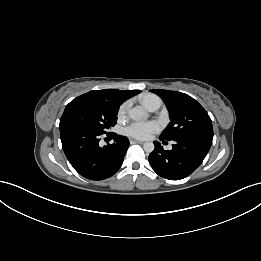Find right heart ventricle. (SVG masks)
I'll use <instances>...</instances> for the list:
<instances>
[{"label": "right heart ventricle", "instance_id": "obj_1", "mask_svg": "<svg viewBox=\"0 0 261 261\" xmlns=\"http://www.w3.org/2000/svg\"><path fill=\"white\" fill-rule=\"evenodd\" d=\"M155 97H156V96L151 95V94L145 95V96H143V97L141 98V103H142L145 107H147L148 104H149V102H150L153 98H155Z\"/></svg>", "mask_w": 261, "mask_h": 261}]
</instances>
